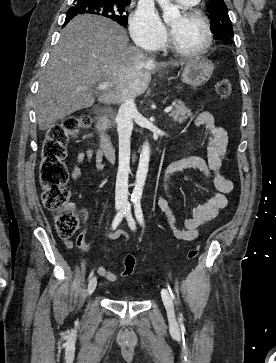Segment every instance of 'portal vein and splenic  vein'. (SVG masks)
<instances>
[{"label": "portal vein and splenic vein", "instance_id": "1", "mask_svg": "<svg viewBox=\"0 0 276 363\" xmlns=\"http://www.w3.org/2000/svg\"><path fill=\"white\" fill-rule=\"evenodd\" d=\"M110 87H111V84L108 81H106L104 83L99 84L97 89L98 90H106V89H108ZM172 109H173L172 106H168V107L165 108L164 112L169 113L170 111H172Z\"/></svg>", "mask_w": 276, "mask_h": 363}]
</instances>
